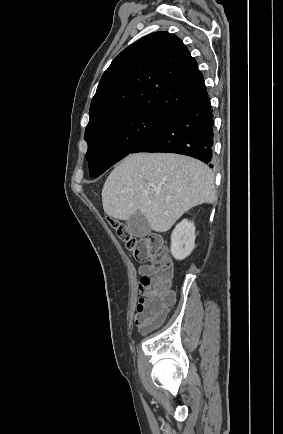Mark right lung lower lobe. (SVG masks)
<instances>
[{"label":"right lung lower lobe","instance_id":"right-lung-lower-lobe-1","mask_svg":"<svg viewBox=\"0 0 283 434\" xmlns=\"http://www.w3.org/2000/svg\"><path fill=\"white\" fill-rule=\"evenodd\" d=\"M213 114L208 95L169 118L131 153L167 152L197 158L208 164L213 156ZM213 167L212 164H209Z\"/></svg>","mask_w":283,"mask_h":434}]
</instances>
